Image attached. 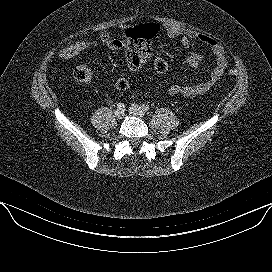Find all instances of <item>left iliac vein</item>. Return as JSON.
<instances>
[{"mask_svg":"<svg viewBox=\"0 0 272 272\" xmlns=\"http://www.w3.org/2000/svg\"><path fill=\"white\" fill-rule=\"evenodd\" d=\"M129 111L131 114L140 118H143L145 116V110L137 104L130 105Z\"/></svg>","mask_w":272,"mask_h":272,"instance_id":"1","label":"left iliac vein"}]
</instances>
